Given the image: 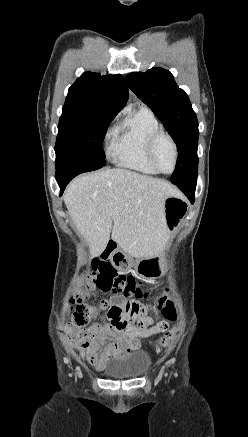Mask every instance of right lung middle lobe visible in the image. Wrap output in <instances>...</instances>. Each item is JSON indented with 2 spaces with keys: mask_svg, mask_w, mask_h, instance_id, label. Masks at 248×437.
Returning <instances> with one entry per match:
<instances>
[{
  "mask_svg": "<svg viewBox=\"0 0 248 437\" xmlns=\"http://www.w3.org/2000/svg\"><path fill=\"white\" fill-rule=\"evenodd\" d=\"M114 117H94L62 111L55 145L56 170L79 167L88 172L103 167V140Z\"/></svg>",
  "mask_w": 248,
  "mask_h": 437,
  "instance_id": "right-lung-middle-lobe-1",
  "label": "right lung middle lobe"
}]
</instances>
